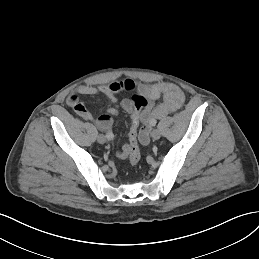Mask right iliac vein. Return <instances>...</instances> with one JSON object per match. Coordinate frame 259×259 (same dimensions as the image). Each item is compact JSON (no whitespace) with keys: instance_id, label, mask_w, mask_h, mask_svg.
<instances>
[{"instance_id":"right-iliac-vein-1","label":"right iliac vein","mask_w":259,"mask_h":259,"mask_svg":"<svg viewBox=\"0 0 259 259\" xmlns=\"http://www.w3.org/2000/svg\"><path fill=\"white\" fill-rule=\"evenodd\" d=\"M97 141L100 143V144H104L106 142V137L102 134L98 135L97 137Z\"/></svg>"}]
</instances>
